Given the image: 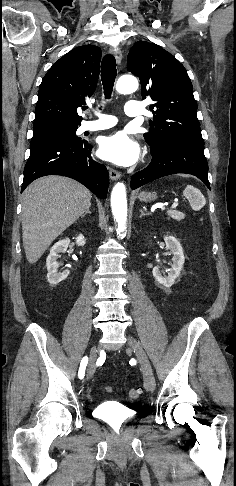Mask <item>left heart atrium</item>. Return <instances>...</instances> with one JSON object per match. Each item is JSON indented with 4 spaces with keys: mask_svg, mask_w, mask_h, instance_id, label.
<instances>
[{
    "mask_svg": "<svg viewBox=\"0 0 236 486\" xmlns=\"http://www.w3.org/2000/svg\"><path fill=\"white\" fill-rule=\"evenodd\" d=\"M99 156L119 166H130L138 160L140 147L126 132L118 131L101 139Z\"/></svg>",
    "mask_w": 236,
    "mask_h": 486,
    "instance_id": "left-heart-atrium-1",
    "label": "left heart atrium"
}]
</instances>
